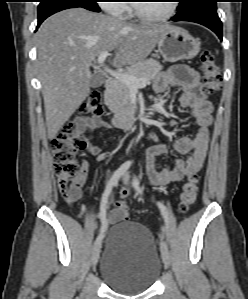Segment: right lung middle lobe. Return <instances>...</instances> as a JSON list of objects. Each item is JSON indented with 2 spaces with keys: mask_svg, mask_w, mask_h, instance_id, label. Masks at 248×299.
Instances as JSON below:
<instances>
[{
  "mask_svg": "<svg viewBox=\"0 0 248 299\" xmlns=\"http://www.w3.org/2000/svg\"><path fill=\"white\" fill-rule=\"evenodd\" d=\"M96 1L97 0H40V4L38 6V16L61 5H76L91 11L99 12L100 8L98 7Z\"/></svg>",
  "mask_w": 248,
  "mask_h": 299,
  "instance_id": "1",
  "label": "right lung middle lobe"
}]
</instances>
